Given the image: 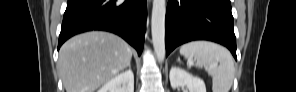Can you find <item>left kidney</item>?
<instances>
[{
    "instance_id": "1",
    "label": "left kidney",
    "mask_w": 296,
    "mask_h": 92,
    "mask_svg": "<svg viewBox=\"0 0 296 92\" xmlns=\"http://www.w3.org/2000/svg\"><path fill=\"white\" fill-rule=\"evenodd\" d=\"M169 77L173 89L186 86L189 92H206L204 81L199 77H194L184 69L172 67Z\"/></svg>"
}]
</instances>
